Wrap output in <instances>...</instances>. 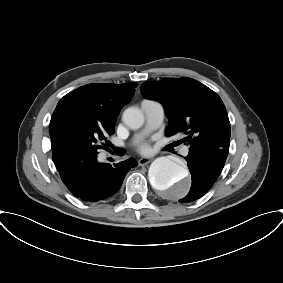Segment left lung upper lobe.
<instances>
[{"instance_id": "1", "label": "left lung upper lobe", "mask_w": 283, "mask_h": 283, "mask_svg": "<svg viewBox=\"0 0 283 283\" xmlns=\"http://www.w3.org/2000/svg\"><path fill=\"white\" fill-rule=\"evenodd\" d=\"M146 98L159 100L169 118L167 135L186 137L189 154L209 166L223 168L230 143V122L220 97L191 78H164L141 86Z\"/></svg>"}]
</instances>
